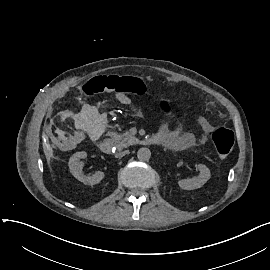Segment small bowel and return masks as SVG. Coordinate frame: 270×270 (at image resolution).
Instances as JSON below:
<instances>
[{
    "instance_id": "1",
    "label": "small bowel",
    "mask_w": 270,
    "mask_h": 270,
    "mask_svg": "<svg viewBox=\"0 0 270 270\" xmlns=\"http://www.w3.org/2000/svg\"><path fill=\"white\" fill-rule=\"evenodd\" d=\"M169 82L174 83L172 79H169ZM116 99L122 105L131 103L130 97L125 94H118ZM198 123L202 131L201 137L198 139H196L193 134L185 132L181 127L172 128L167 125L162 126L156 135L159 137L161 144L168 149L175 151L184 150L194 145L197 141H203L204 136L210 131V124L206 119L201 118ZM80 138V134L65 137L63 136L62 130L58 127H51L46 132L47 141L51 144H55L61 151H70L74 149Z\"/></svg>"
}]
</instances>
